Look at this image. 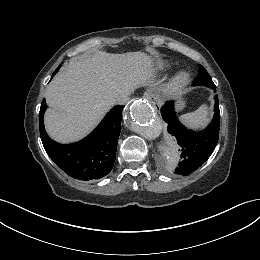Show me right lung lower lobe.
<instances>
[{
	"label": "right lung lower lobe",
	"instance_id": "obj_1",
	"mask_svg": "<svg viewBox=\"0 0 260 260\" xmlns=\"http://www.w3.org/2000/svg\"><path fill=\"white\" fill-rule=\"evenodd\" d=\"M46 108L43 100L39 112V129L49 157L75 179L92 180L106 176L113 168L116 158L123 106L113 107L90 135L69 145L58 144L46 134L43 123Z\"/></svg>",
	"mask_w": 260,
	"mask_h": 260
}]
</instances>
